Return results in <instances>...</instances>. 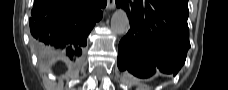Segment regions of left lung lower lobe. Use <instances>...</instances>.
I'll use <instances>...</instances> for the list:
<instances>
[{
  "label": "left lung lower lobe",
  "instance_id": "obj_1",
  "mask_svg": "<svg viewBox=\"0 0 228 90\" xmlns=\"http://www.w3.org/2000/svg\"><path fill=\"white\" fill-rule=\"evenodd\" d=\"M125 9L131 29L120 41L117 64L145 78L154 73L149 68L176 75L190 48L187 24L188 0H117Z\"/></svg>",
  "mask_w": 228,
  "mask_h": 90
}]
</instances>
